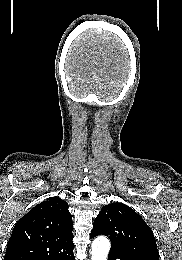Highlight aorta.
<instances>
[{"label":"aorta","mask_w":182,"mask_h":260,"mask_svg":"<svg viewBox=\"0 0 182 260\" xmlns=\"http://www.w3.org/2000/svg\"><path fill=\"white\" fill-rule=\"evenodd\" d=\"M110 242L105 236H99L92 243V260H107Z\"/></svg>","instance_id":"762f6f07"}]
</instances>
